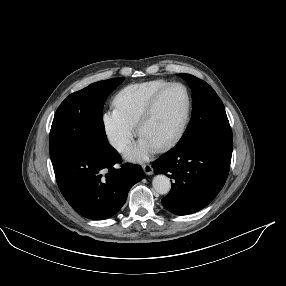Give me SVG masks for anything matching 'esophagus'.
Masks as SVG:
<instances>
[{"label":"esophagus","mask_w":286,"mask_h":286,"mask_svg":"<svg viewBox=\"0 0 286 286\" xmlns=\"http://www.w3.org/2000/svg\"><path fill=\"white\" fill-rule=\"evenodd\" d=\"M142 167H143L145 174H147V175L153 174L154 171H153V167L151 164H144Z\"/></svg>","instance_id":"34e87169"}]
</instances>
